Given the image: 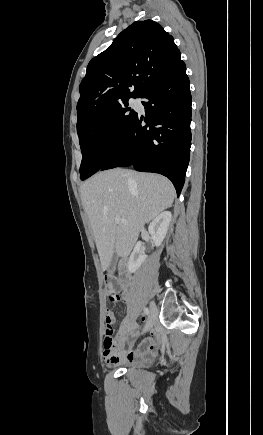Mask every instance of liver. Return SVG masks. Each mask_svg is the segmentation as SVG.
<instances>
[{"label": "liver", "mask_w": 263, "mask_h": 435, "mask_svg": "<svg viewBox=\"0 0 263 435\" xmlns=\"http://www.w3.org/2000/svg\"><path fill=\"white\" fill-rule=\"evenodd\" d=\"M80 196L104 271L114 253L122 258L130 254L142 226L172 205L175 189L161 175L116 168L89 178ZM116 217L127 224H117Z\"/></svg>", "instance_id": "1"}]
</instances>
